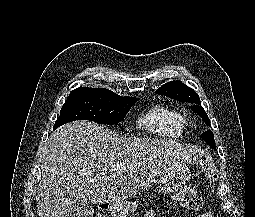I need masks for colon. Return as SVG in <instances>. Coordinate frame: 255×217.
<instances>
[{
  "mask_svg": "<svg viewBox=\"0 0 255 217\" xmlns=\"http://www.w3.org/2000/svg\"><path fill=\"white\" fill-rule=\"evenodd\" d=\"M175 201L182 208L190 211H198L202 207V198L198 192L191 187H184L175 195Z\"/></svg>",
  "mask_w": 255,
  "mask_h": 217,
  "instance_id": "5ec220e1",
  "label": "colon"
}]
</instances>
